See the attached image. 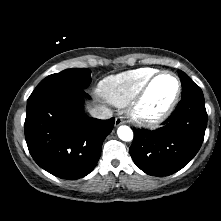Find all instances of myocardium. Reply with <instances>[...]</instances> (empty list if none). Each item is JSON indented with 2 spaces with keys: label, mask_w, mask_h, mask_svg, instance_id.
Wrapping results in <instances>:
<instances>
[{
  "label": "myocardium",
  "mask_w": 221,
  "mask_h": 221,
  "mask_svg": "<svg viewBox=\"0 0 221 221\" xmlns=\"http://www.w3.org/2000/svg\"><path fill=\"white\" fill-rule=\"evenodd\" d=\"M163 75H169L172 78H174V80L176 81V92L173 98L171 99V101L168 103V105L165 108H163L161 111L152 114L147 113L144 110V103L146 97L153 83L160 76ZM181 91H182L181 81L175 73L168 70L157 71L145 82V84L142 86L139 92L129 102L128 114L131 120L134 123L142 126L153 127L159 125L164 120H166L168 116L173 112L174 108L176 107L179 101Z\"/></svg>",
  "instance_id": "f54148a6"
}]
</instances>
